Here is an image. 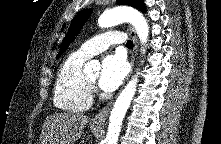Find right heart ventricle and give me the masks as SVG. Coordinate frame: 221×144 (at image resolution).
Returning a JSON list of instances; mask_svg holds the SVG:
<instances>
[{
	"label": "right heart ventricle",
	"instance_id": "obj_1",
	"mask_svg": "<svg viewBox=\"0 0 221 144\" xmlns=\"http://www.w3.org/2000/svg\"><path fill=\"white\" fill-rule=\"evenodd\" d=\"M86 60L75 52L61 64L53 94L54 104L60 110L82 112L91 106L90 84L82 70Z\"/></svg>",
	"mask_w": 221,
	"mask_h": 144
}]
</instances>
